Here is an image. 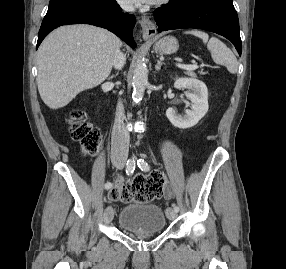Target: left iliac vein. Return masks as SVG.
<instances>
[{
  "label": "left iliac vein",
  "instance_id": "left-iliac-vein-1",
  "mask_svg": "<svg viewBox=\"0 0 286 269\" xmlns=\"http://www.w3.org/2000/svg\"><path fill=\"white\" fill-rule=\"evenodd\" d=\"M166 215H167V218L169 220H174L177 216V212L174 209H172L171 207H168L166 209Z\"/></svg>",
  "mask_w": 286,
  "mask_h": 269
}]
</instances>
